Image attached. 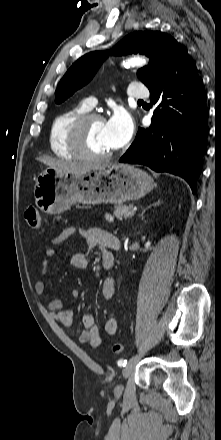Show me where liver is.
<instances>
[{"label":"liver","instance_id":"6515ba94","mask_svg":"<svg viewBox=\"0 0 221 440\" xmlns=\"http://www.w3.org/2000/svg\"><path fill=\"white\" fill-rule=\"evenodd\" d=\"M38 161L46 164L49 168L55 169L57 171H63L73 174H81L92 169H98L106 164L101 163H79L64 160L53 159L48 156H42L37 158Z\"/></svg>","mask_w":221,"mask_h":440}]
</instances>
